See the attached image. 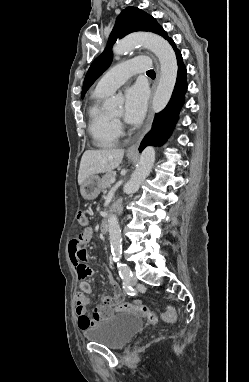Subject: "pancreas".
I'll list each match as a JSON object with an SVG mask.
<instances>
[{"label": "pancreas", "instance_id": "pancreas-1", "mask_svg": "<svg viewBox=\"0 0 249 382\" xmlns=\"http://www.w3.org/2000/svg\"><path fill=\"white\" fill-rule=\"evenodd\" d=\"M114 177V172H107L101 179L100 187L102 190L109 188L111 186V179Z\"/></svg>", "mask_w": 249, "mask_h": 382}]
</instances>
